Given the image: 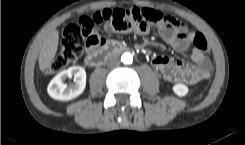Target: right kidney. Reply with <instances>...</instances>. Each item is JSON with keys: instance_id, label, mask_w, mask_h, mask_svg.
Wrapping results in <instances>:
<instances>
[{"instance_id": "1", "label": "right kidney", "mask_w": 245, "mask_h": 145, "mask_svg": "<svg viewBox=\"0 0 245 145\" xmlns=\"http://www.w3.org/2000/svg\"><path fill=\"white\" fill-rule=\"evenodd\" d=\"M74 76V83L67 86L65 80ZM86 86V72L80 66H72L58 73L47 87L48 94L56 100L68 101L78 97Z\"/></svg>"}]
</instances>
